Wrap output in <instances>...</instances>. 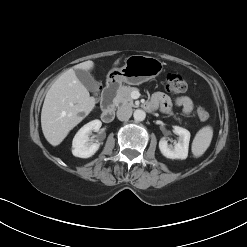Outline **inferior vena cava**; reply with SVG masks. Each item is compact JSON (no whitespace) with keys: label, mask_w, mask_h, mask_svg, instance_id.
Here are the masks:
<instances>
[{"label":"inferior vena cava","mask_w":247,"mask_h":247,"mask_svg":"<svg viewBox=\"0 0 247 247\" xmlns=\"http://www.w3.org/2000/svg\"><path fill=\"white\" fill-rule=\"evenodd\" d=\"M132 115V108L127 105H123L118 108L117 110V118L120 121H126L128 120Z\"/></svg>","instance_id":"inferior-vena-cava-1"}]
</instances>
